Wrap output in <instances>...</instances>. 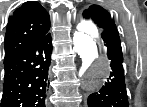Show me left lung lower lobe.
<instances>
[{
	"instance_id": "1",
	"label": "left lung lower lobe",
	"mask_w": 147,
	"mask_h": 107,
	"mask_svg": "<svg viewBox=\"0 0 147 107\" xmlns=\"http://www.w3.org/2000/svg\"><path fill=\"white\" fill-rule=\"evenodd\" d=\"M101 37L107 48L112 71L102 87L89 95L88 107H129L118 31L115 28L101 30Z\"/></svg>"
}]
</instances>
